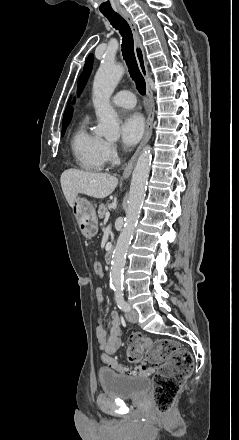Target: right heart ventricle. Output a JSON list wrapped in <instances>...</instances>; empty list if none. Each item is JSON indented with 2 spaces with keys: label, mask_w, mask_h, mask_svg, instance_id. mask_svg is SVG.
I'll return each mask as SVG.
<instances>
[{
  "label": "right heart ventricle",
  "mask_w": 239,
  "mask_h": 440,
  "mask_svg": "<svg viewBox=\"0 0 239 440\" xmlns=\"http://www.w3.org/2000/svg\"><path fill=\"white\" fill-rule=\"evenodd\" d=\"M102 144L103 140L89 132L84 125L78 127L70 139L75 164L86 171H101L106 164Z\"/></svg>",
  "instance_id": "1"
}]
</instances>
